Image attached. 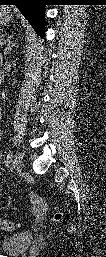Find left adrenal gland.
I'll list each match as a JSON object with an SVG mask.
<instances>
[{"mask_svg": "<svg viewBox=\"0 0 106 257\" xmlns=\"http://www.w3.org/2000/svg\"><path fill=\"white\" fill-rule=\"evenodd\" d=\"M13 36L10 35L8 38H7V45H6V48L4 49V54L7 55L9 54V51L11 50V48L15 45V42H12Z\"/></svg>", "mask_w": 106, "mask_h": 257, "instance_id": "1", "label": "left adrenal gland"}]
</instances>
